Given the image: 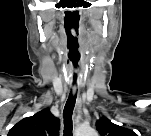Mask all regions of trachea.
<instances>
[{
  "label": "trachea",
  "instance_id": "3493384b",
  "mask_svg": "<svg viewBox=\"0 0 151 136\" xmlns=\"http://www.w3.org/2000/svg\"><path fill=\"white\" fill-rule=\"evenodd\" d=\"M74 77L76 78V74H74ZM73 86L76 85V83L72 84ZM76 101V93L74 94L71 90L68 100L65 104L64 110H63V118H64V136H71L72 133V114L75 106Z\"/></svg>",
  "mask_w": 151,
  "mask_h": 136
}]
</instances>
